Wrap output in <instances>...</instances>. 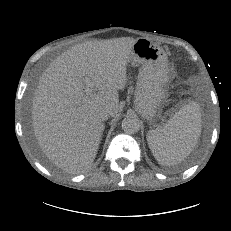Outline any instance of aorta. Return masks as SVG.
<instances>
[{"instance_id": "1", "label": "aorta", "mask_w": 231, "mask_h": 231, "mask_svg": "<svg viewBox=\"0 0 231 231\" xmlns=\"http://www.w3.org/2000/svg\"><path fill=\"white\" fill-rule=\"evenodd\" d=\"M122 129L127 134H135L140 129V122L135 117H126L122 120Z\"/></svg>"}]
</instances>
